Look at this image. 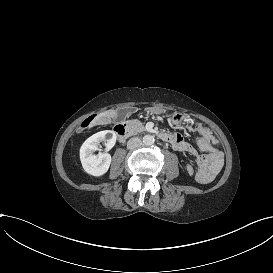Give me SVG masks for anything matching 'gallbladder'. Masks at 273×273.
I'll return each instance as SVG.
<instances>
[{
	"mask_svg": "<svg viewBox=\"0 0 273 273\" xmlns=\"http://www.w3.org/2000/svg\"><path fill=\"white\" fill-rule=\"evenodd\" d=\"M135 108L134 107H127L126 109H119L117 121H123L126 118V114H134Z\"/></svg>",
	"mask_w": 273,
	"mask_h": 273,
	"instance_id": "1",
	"label": "gallbladder"
}]
</instances>
